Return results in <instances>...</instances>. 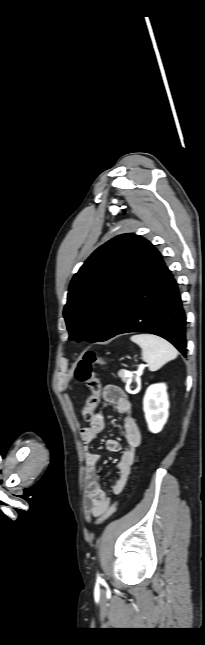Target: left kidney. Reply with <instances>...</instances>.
Returning <instances> with one entry per match:
<instances>
[{"label": "left kidney", "instance_id": "obj_1", "mask_svg": "<svg viewBox=\"0 0 205 645\" xmlns=\"http://www.w3.org/2000/svg\"><path fill=\"white\" fill-rule=\"evenodd\" d=\"M165 384H153L146 390L143 409L148 428L152 433L162 430L168 419L169 401Z\"/></svg>", "mask_w": 205, "mask_h": 645}]
</instances>
